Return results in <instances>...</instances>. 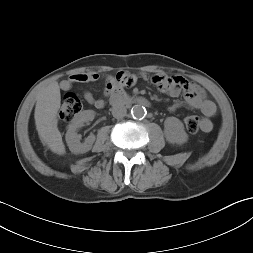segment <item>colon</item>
Here are the masks:
<instances>
[{
    "mask_svg": "<svg viewBox=\"0 0 253 253\" xmlns=\"http://www.w3.org/2000/svg\"><path fill=\"white\" fill-rule=\"evenodd\" d=\"M82 110L81 101L74 94H66L60 109V117L65 122L72 121ZM186 129L190 133H197L202 126V120L195 115H188L184 118Z\"/></svg>",
    "mask_w": 253,
    "mask_h": 253,
    "instance_id": "colon-1",
    "label": "colon"
}]
</instances>
